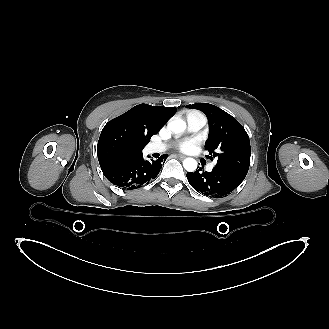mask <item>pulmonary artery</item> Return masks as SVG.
<instances>
[{
	"label": "pulmonary artery",
	"mask_w": 329,
	"mask_h": 329,
	"mask_svg": "<svg viewBox=\"0 0 329 329\" xmlns=\"http://www.w3.org/2000/svg\"><path fill=\"white\" fill-rule=\"evenodd\" d=\"M207 122L206 117L201 113H191L187 117V124L188 129L192 132L199 131L202 127L205 126ZM167 148V145L165 143H153L150 145L149 149L151 152H163ZM214 167V164L208 165V170L211 171Z\"/></svg>",
	"instance_id": "obj_1"
}]
</instances>
